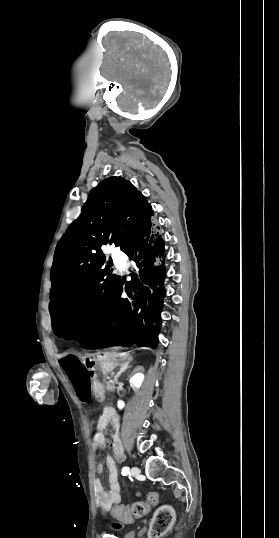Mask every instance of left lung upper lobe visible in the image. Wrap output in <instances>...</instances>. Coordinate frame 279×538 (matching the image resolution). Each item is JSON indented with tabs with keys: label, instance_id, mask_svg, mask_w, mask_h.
Segmentation results:
<instances>
[{
	"label": "left lung upper lobe",
	"instance_id": "obj_1",
	"mask_svg": "<svg viewBox=\"0 0 279 538\" xmlns=\"http://www.w3.org/2000/svg\"><path fill=\"white\" fill-rule=\"evenodd\" d=\"M153 211L144 195L121 177H110L89 194L82 213L58 243L52 266L50 313L58 336H91L114 307L121 282L111 275L101 246L126 252L151 225Z\"/></svg>",
	"mask_w": 279,
	"mask_h": 538
}]
</instances>
